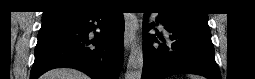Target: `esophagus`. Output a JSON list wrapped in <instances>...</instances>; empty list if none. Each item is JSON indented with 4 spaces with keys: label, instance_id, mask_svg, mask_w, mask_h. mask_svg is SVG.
Here are the masks:
<instances>
[{
    "label": "esophagus",
    "instance_id": "34e87169",
    "mask_svg": "<svg viewBox=\"0 0 255 79\" xmlns=\"http://www.w3.org/2000/svg\"><path fill=\"white\" fill-rule=\"evenodd\" d=\"M137 29L138 21L136 16L125 13L124 47L126 51H129V49L133 47Z\"/></svg>",
    "mask_w": 255,
    "mask_h": 79
}]
</instances>
